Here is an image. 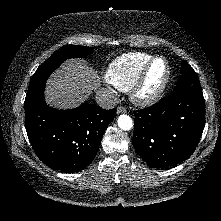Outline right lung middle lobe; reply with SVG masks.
Segmentation results:
<instances>
[{
  "label": "right lung middle lobe",
  "mask_w": 221,
  "mask_h": 221,
  "mask_svg": "<svg viewBox=\"0 0 221 221\" xmlns=\"http://www.w3.org/2000/svg\"><path fill=\"white\" fill-rule=\"evenodd\" d=\"M93 48L80 45H66L56 50L34 73L30 80L27 94H31L46 83L50 74L68 58L84 57L92 53Z\"/></svg>",
  "instance_id": "dd1d6c3e"
}]
</instances>
